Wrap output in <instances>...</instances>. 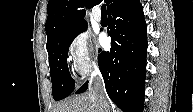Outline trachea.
Segmentation results:
<instances>
[{
	"label": "trachea",
	"instance_id": "1",
	"mask_svg": "<svg viewBox=\"0 0 193 112\" xmlns=\"http://www.w3.org/2000/svg\"><path fill=\"white\" fill-rule=\"evenodd\" d=\"M101 12H102V14H106L107 12H106V5L105 4H103L102 6H101Z\"/></svg>",
	"mask_w": 193,
	"mask_h": 112
}]
</instances>
